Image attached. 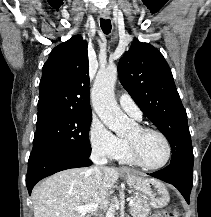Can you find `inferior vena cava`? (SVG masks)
<instances>
[{
  "label": "inferior vena cava",
  "mask_w": 211,
  "mask_h": 217,
  "mask_svg": "<svg viewBox=\"0 0 211 217\" xmlns=\"http://www.w3.org/2000/svg\"><path fill=\"white\" fill-rule=\"evenodd\" d=\"M90 159L94 163V167L91 168V171L94 175L96 187L100 189L102 184V176H103L102 166L107 164V159L105 157L104 152L100 149H93ZM99 217H101V215Z\"/></svg>",
  "instance_id": "inferior-vena-cava-1"
}]
</instances>
